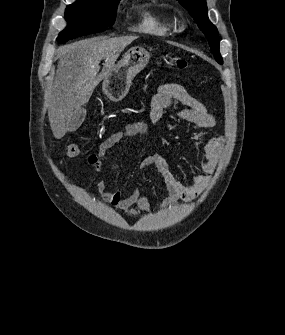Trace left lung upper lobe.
<instances>
[{"instance_id": "obj_1", "label": "left lung upper lobe", "mask_w": 285, "mask_h": 335, "mask_svg": "<svg viewBox=\"0 0 285 335\" xmlns=\"http://www.w3.org/2000/svg\"><path fill=\"white\" fill-rule=\"evenodd\" d=\"M178 1L188 9L190 15L194 18L198 27L201 31H203L207 40L209 41L211 52L213 53L216 61L222 64L223 60L219 52L218 30L208 19L206 0Z\"/></svg>"}]
</instances>
